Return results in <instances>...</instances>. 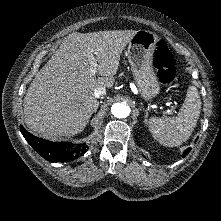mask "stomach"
<instances>
[{"instance_id":"stomach-1","label":"stomach","mask_w":221,"mask_h":221,"mask_svg":"<svg viewBox=\"0 0 221 221\" xmlns=\"http://www.w3.org/2000/svg\"><path fill=\"white\" fill-rule=\"evenodd\" d=\"M159 37L148 30H138L129 42L127 57L141 96L150 101L160 91L154 72L153 57Z\"/></svg>"}]
</instances>
